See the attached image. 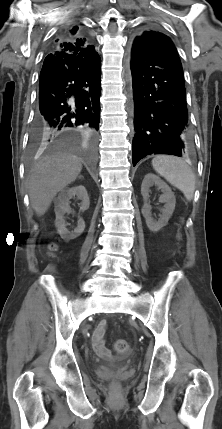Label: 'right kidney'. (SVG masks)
Here are the masks:
<instances>
[{
	"label": "right kidney",
	"mask_w": 222,
	"mask_h": 429,
	"mask_svg": "<svg viewBox=\"0 0 222 429\" xmlns=\"http://www.w3.org/2000/svg\"><path fill=\"white\" fill-rule=\"evenodd\" d=\"M75 196L81 200L80 211H85L89 208L90 201L86 188L83 185L74 186L71 188H66L62 190L58 197L55 199V214L56 220L55 225L57 227L58 233L69 239H74L81 235L85 229V222L82 218L79 217L78 225L74 231L69 232L66 228V223L64 219L65 213H71L72 210L69 206L70 199L75 198Z\"/></svg>",
	"instance_id": "1"
}]
</instances>
